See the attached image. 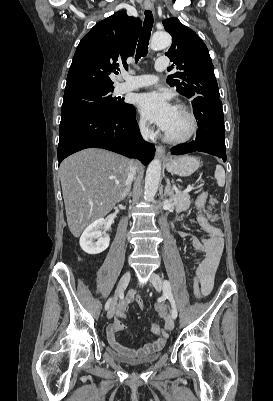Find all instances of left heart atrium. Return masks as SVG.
<instances>
[{"instance_id": "1", "label": "left heart atrium", "mask_w": 273, "mask_h": 401, "mask_svg": "<svg viewBox=\"0 0 273 401\" xmlns=\"http://www.w3.org/2000/svg\"><path fill=\"white\" fill-rule=\"evenodd\" d=\"M137 107L141 116L165 130L175 110L168 97L159 93H143L138 96Z\"/></svg>"}]
</instances>
